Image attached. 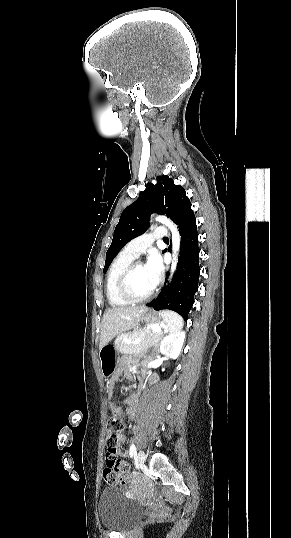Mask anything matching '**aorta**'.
Here are the masks:
<instances>
[{"mask_svg":"<svg viewBox=\"0 0 291 538\" xmlns=\"http://www.w3.org/2000/svg\"><path fill=\"white\" fill-rule=\"evenodd\" d=\"M157 221L165 224L172 233V250H173V261L171 264V273L173 274L176 270L178 252L180 250V234L178 232L177 226L168 218L163 216H158Z\"/></svg>","mask_w":291,"mask_h":538,"instance_id":"1","label":"aorta"}]
</instances>
